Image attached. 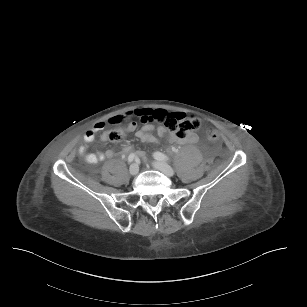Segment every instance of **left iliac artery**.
<instances>
[{"label":"left iliac artery","mask_w":307,"mask_h":307,"mask_svg":"<svg viewBox=\"0 0 307 307\" xmlns=\"http://www.w3.org/2000/svg\"><path fill=\"white\" fill-rule=\"evenodd\" d=\"M174 152L176 153L177 150H174ZM154 158L160 161H167L169 160V157H167L165 154L161 153V152H155L154 153Z\"/></svg>","instance_id":"left-iliac-artery-1"}]
</instances>
